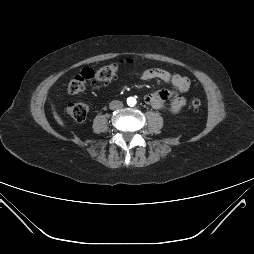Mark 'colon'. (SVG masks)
Here are the masks:
<instances>
[{"mask_svg": "<svg viewBox=\"0 0 254 254\" xmlns=\"http://www.w3.org/2000/svg\"><path fill=\"white\" fill-rule=\"evenodd\" d=\"M130 64V62H126ZM120 64H110L103 66L99 69L85 68L78 75H76L67 86V92L69 94H79L83 92L88 83L90 82H108L110 81L117 73ZM191 105L194 109L201 107L202 102L199 98H194L191 100ZM65 111L67 115L77 122H83L88 114L89 106L84 102L78 103H69Z\"/></svg>", "mask_w": 254, "mask_h": 254, "instance_id": "obj_1", "label": "colon"}]
</instances>
